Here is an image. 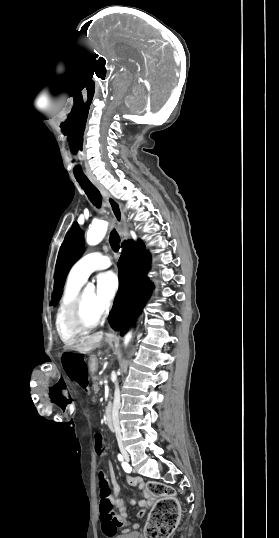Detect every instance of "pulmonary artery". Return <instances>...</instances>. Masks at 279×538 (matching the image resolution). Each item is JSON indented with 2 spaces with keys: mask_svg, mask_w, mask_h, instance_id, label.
Masks as SVG:
<instances>
[{
  "mask_svg": "<svg viewBox=\"0 0 279 538\" xmlns=\"http://www.w3.org/2000/svg\"><path fill=\"white\" fill-rule=\"evenodd\" d=\"M111 260L109 253L91 252L75 263L72 271L77 278L86 280L93 272L109 267Z\"/></svg>",
  "mask_w": 279,
  "mask_h": 538,
  "instance_id": "1",
  "label": "pulmonary artery"
}]
</instances>
